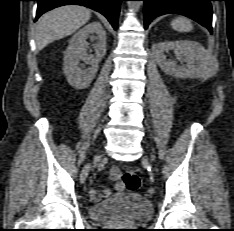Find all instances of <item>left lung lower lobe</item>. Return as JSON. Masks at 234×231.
Here are the masks:
<instances>
[{
  "label": "left lung lower lobe",
  "instance_id": "obj_1",
  "mask_svg": "<svg viewBox=\"0 0 234 231\" xmlns=\"http://www.w3.org/2000/svg\"><path fill=\"white\" fill-rule=\"evenodd\" d=\"M144 1L145 29L157 16L176 13L187 16L212 33V7L214 0H141Z\"/></svg>",
  "mask_w": 234,
  "mask_h": 231
}]
</instances>
